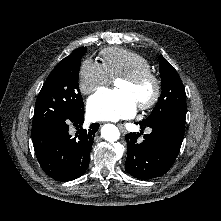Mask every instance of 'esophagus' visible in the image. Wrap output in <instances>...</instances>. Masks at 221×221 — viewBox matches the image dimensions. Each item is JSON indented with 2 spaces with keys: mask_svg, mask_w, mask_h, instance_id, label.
<instances>
[{
  "mask_svg": "<svg viewBox=\"0 0 221 221\" xmlns=\"http://www.w3.org/2000/svg\"><path fill=\"white\" fill-rule=\"evenodd\" d=\"M117 127L120 129L122 134L125 135L127 133V130L125 129V127L122 124H118Z\"/></svg>",
  "mask_w": 221,
  "mask_h": 221,
  "instance_id": "1",
  "label": "esophagus"
}]
</instances>
